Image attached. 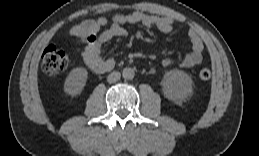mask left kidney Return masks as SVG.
Masks as SVG:
<instances>
[{"mask_svg":"<svg viewBox=\"0 0 259 156\" xmlns=\"http://www.w3.org/2000/svg\"><path fill=\"white\" fill-rule=\"evenodd\" d=\"M161 86L164 96L175 103H181L193 93L191 77L177 69L165 73Z\"/></svg>","mask_w":259,"mask_h":156,"instance_id":"5707ae66","label":"left kidney"}]
</instances>
